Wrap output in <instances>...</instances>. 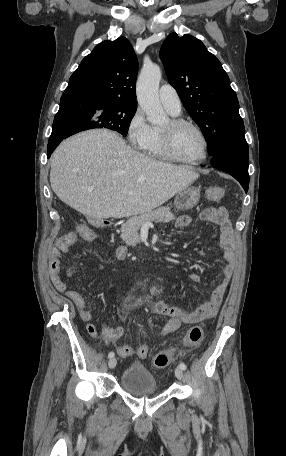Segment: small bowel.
Returning a JSON list of instances; mask_svg holds the SVG:
<instances>
[{
	"instance_id": "c3829d8e",
	"label": "small bowel",
	"mask_w": 286,
	"mask_h": 456,
	"mask_svg": "<svg viewBox=\"0 0 286 456\" xmlns=\"http://www.w3.org/2000/svg\"><path fill=\"white\" fill-rule=\"evenodd\" d=\"M198 217L202 221L214 222L221 227V247L225 251L224 260L227 263L223 269V278L216 285L209 300L196 309L189 310L179 306L169 305L161 300L156 301L154 304V311L159 315L169 318L161 331L163 336L171 334L183 323H197L213 318L221 305L223 296L234 273L236 264L235 237L227 210L224 207L206 208L199 213ZM191 221V216L184 215L177 219L176 225L183 228L188 226ZM81 237L86 241H94L97 236L96 233L91 230L90 235H81ZM76 240L77 235L75 233L67 234L60 238L57 242V246L50 251V278L54 287L58 291L63 292L77 308L80 318L85 322H89L92 319V314L87 308L83 296L76 290L68 289L60 276L61 255L62 253L67 252L72 245H74ZM128 253V249L125 246H117L114 250L115 258L120 261H125L128 257ZM189 277L194 282L200 281V277L196 274H190ZM121 316L124 317V314ZM87 331L92 337L96 338L100 336L104 341L111 343H116L124 333L122 327H109L104 324L99 333L96 326L91 323L87 325ZM133 352V348L129 345H119L117 347L118 355L124 358L132 356Z\"/></svg>"
}]
</instances>
